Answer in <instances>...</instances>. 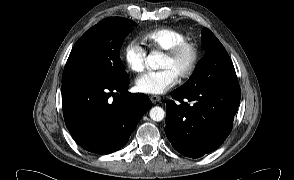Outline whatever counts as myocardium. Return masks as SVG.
I'll use <instances>...</instances> for the list:
<instances>
[{
    "label": "myocardium",
    "mask_w": 294,
    "mask_h": 180,
    "mask_svg": "<svg viewBox=\"0 0 294 180\" xmlns=\"http://www.w3.org/2000/svg\"><path fill=\"white\" fill-rule=\"evenodd\" d=\"M184 51L190 53V62L186 69L180 73L179 78L181 79H187L192 76L197 68L199 62V49L197 45L187 40L180 41L164 52V55L169 58H176Z\"/></svg>",
    "instance_id": "obj_1"
}]
</instances>
